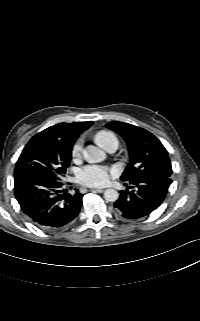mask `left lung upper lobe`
Segmentation results:
<instances>
[{
  "instance_id": "1",
  "label": "left lung upper lobe",
  "mask_w": 200,
  "mask_h": 321,
  "mask_svg": "<svg viewBox=\"0 0 200 321\" xmlns=\"http://www.w3.org/2000/svg\"><path fill=\"white\" fill-rule=\"evenodd\" d=\"M107 128L120 134L128 145L130 164L126 167L121 180L171 176L172 167L168 153L154 135L145 129L122 122H110Z\"/></svg>"
}]
</instances>
